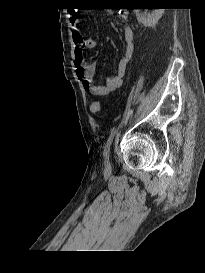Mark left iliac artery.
<instances>
[{
    "mask_svg": "<svg viewBox=\"0 0 205 273\" xmlns=\"http://www.w3.org/2000/svg\"><path fill=\"white\" fill-rule=\"evenodd\" d=\"M117 130L118 128H114L105 144V147H104V156H109V152H110V147H111V144H112V141H113V138L115 136V134L117 133Z\"/></svg>",
    "mask_w": 205,
    "mask_h": 273,
    "instance_id": "44dca946",
    "label": "left iliac artery"
}]
</instances>
